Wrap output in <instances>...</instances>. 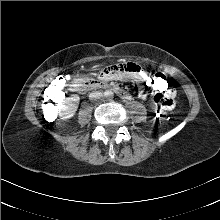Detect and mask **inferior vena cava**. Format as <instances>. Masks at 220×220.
<instances>
[{
    "instance_id": "602c4592",
    "label": "inferior vena cava",
    "mask_w": 220,
    "mask_h": 220,
    "mask_svg": "<svg viewBox=\"0 0 220 220\" xmlns=\"http://www.w3.org/2000/svg\"><path fill=\"white\" fill-rule=\"evenodd\" d=\"M91 96L92 97H98V96H100V93L99 92H94V93L91 94Z\"/></svg>"
}]
</instances>
